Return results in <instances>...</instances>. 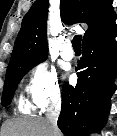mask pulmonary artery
<instances>
[{"label": "pulmonary artery", "mask_w": 117, "mask_h": 136, "mask_svg": "<svg viewBox=\"0 0 117 136\" xmlns=\"http://www.w3.org/2000/svg\"><path fill=\"white\" fill-rule=\"evenodd\" d=\"M61 56L63 59L65 60H72L74 57V52L73 49L71 47V43L70 41H66L61 49Z\"/></svg>", "instance_id": "obj_1"}]
</instances>
